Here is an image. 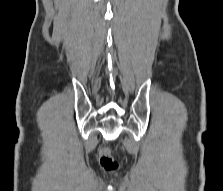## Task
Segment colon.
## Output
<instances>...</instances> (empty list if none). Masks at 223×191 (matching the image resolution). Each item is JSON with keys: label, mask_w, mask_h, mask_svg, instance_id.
<instances>
[{"label": "colon", "mask_w": 223, "mask_h": 191, "mask_svg": "<svg viewBox=\"0 0 223 191\" xmlns=\"http://www.w3.org/2000/svg\"><path fill=\"white\" fill-rule=\"evenodd\" d=\"M101 165L104 170L106 171H114L118 167V164L116 161H114L111 157H109L107 154H104L101 158Z\"/></svg>", "instance_id": "5ec220e1"}]
</instances>
